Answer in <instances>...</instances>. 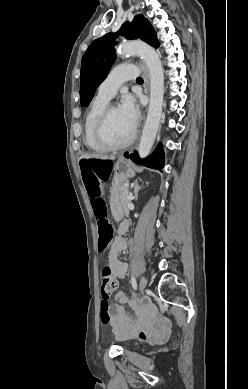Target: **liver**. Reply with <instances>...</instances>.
I'll return each mask as SVG.
<instances>
[{"mask_svg": "<svg viewBox=\"0 0 248 389\" xmlns=\"http://www.w3.org/2000/svg\"><path fill=\"white\" fill-rule=\"evenodd\" d=\"M81 158H83V159L97 158V159H101V160H107V159L114 160L115 159L114 156H107V155H101V154H84L81 156Z\"/></svg>", "mask_w": 248, "mask_h": 389, "instance_id": "6515ba94", "label": "liver"}]
</instances>
